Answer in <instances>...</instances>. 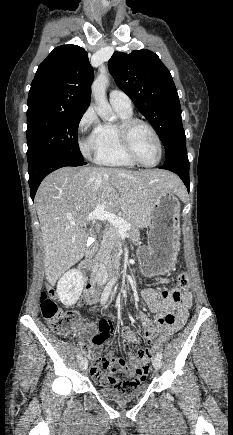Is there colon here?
Instances as JSON below:
<instances>
[{
	"mask_svg": "<svg viewBox=\"0 0 233 435\" xmlns=\"http://www.w3.org/2000/svg\"><path fill=\"white\" fill-rule=\"evenodd\" d=\"M178 285L186 289L189 287V278L186 273H181L177 277ZM56 290L55 287H48L45 291H43L40 295V310L42 317L47 322L49 328L59 336L67 335L76 319V314L71 310H65L59 308L57 302L55 300ZM99 338L96 337L95 340ZM83 353L87 352V348L84 347L81 349ZM149 358V356H148ZM134 378L132 380L123 381L119 383V388L124 392L132 391L137 385L138 380L136 379L139 374V369H134L132 371Z\"/></svg>",
	"mask_w": 233,
	"mask_h": 435,
	"instance_id": "colon-1",
	"label": "colon"
}]
</instances>
